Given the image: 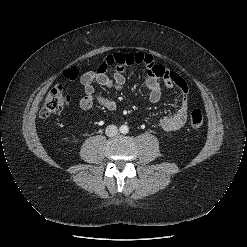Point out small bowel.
<instances>
[{"label":"small bowel","mask_w":247,"mask_h":247,"mask_svg":"<svg viewBox=\"0 0 247 247\" xmlns=\"http://www.w3.org/2000/svg\"><path fill=\"white\" fill-rule=\"evenodd\" d=\"M132 65H141L146 69L147 78L145 85L151 102L156 103L161 98V81L167 88L177 90L178 108L176 112L161 117L158 120V124L163 130L168 132L181 131L187 120L188 85L179 74L167 69L163 65L156 64L153 57L147 53L109 54L104 57L96 70L82 74L80 82L83 85L85 96L79 102L80 107L83 110H89L95 103H99L108 111H114L116 109L115 100L98 94L93 83L119 91L126 82L124 71L126 67ZM110 67L114 68L111 78L107 75Z\"/></svg>","instance_id":"c3829d8e"}]
</instances>
